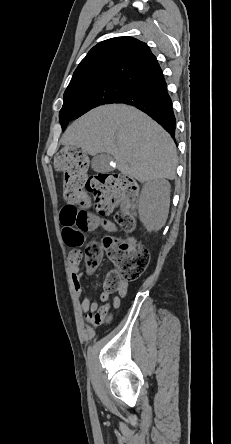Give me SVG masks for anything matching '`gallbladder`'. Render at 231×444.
<instances>
[{"mask_svg": "<svg viewBox=\"0 0 231 444\" xmlns=\"http://www.w3.org/2000/svg\"><path fill=\"white\" fill-rule=\"evenodd\" d=\"M111 157L106 154H97L92 159V169L96 172H107L112 170L109 163Z\"/></svg>", "mask_w": 231, "mask_h": 444, "instance_id": "1", "label": "gallbladder"}]
</instances>
